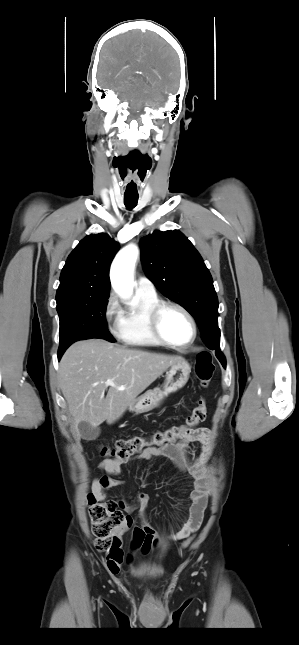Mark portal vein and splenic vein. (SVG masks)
I'll use <instances>...</instances> for the list:
<instances>
[{"label": "portal vein and splenic vein", "mask_w": 299, "mask_h": 645, "mask_svg": "<svg viewBox=\"0 0 299 645\" xmlns=\"http://www.w3.org/2000/svg\"><path fill=\"white\" fill-rule=\"evenodd\" d=\"M106 385H107V386H115V384H114L113 380H107V381H106ZM119 389H123V387H119Z\"/></svg>", "instance_id": "portal-vein-and-splenic-vein-1"}]
</instances>
